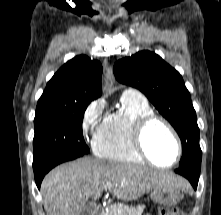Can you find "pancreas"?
Instances as JSON below:
<instances>
[{
	"mask_svg": "<svg viewBox=\"0 0 221 215\" xmlns=\"http://www.w3.org/2000/svg\"><path fill=\"white\" fill-rule=\"evenodd\" d=\"M144 206L129 207L121 204H114L105 211L103 215H141Z\"/></svg>",
	"mask_w": 221,
	"mask_h": 215,
	"instance_id": "obj_1",
	"label": "pancreas"
}]
</instances>
